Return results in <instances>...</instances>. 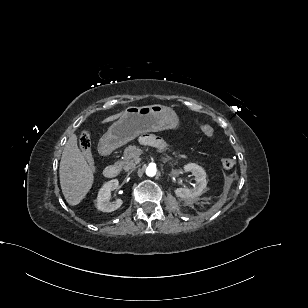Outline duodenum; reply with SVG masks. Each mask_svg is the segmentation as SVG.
<instances>
[{
  "mask_svg": "<svg viewBox=\"0 0 308 308\" xmlns=\"http://www.w3.org/2000/svg\"><path fill=\"white\" fill-rule=\"evenodd\" d=\"M102 152L103 154H106L108 152V148L102 147ZM119 173H120V167L117 164L108 165L104 169V176L109 179L116 178L119 175Z\"/></svg>",
  "mask_w": 308,
  "mask_h": 308,
  "instance_id": "1",
  "label": "duodenum"
}]
</instances>
